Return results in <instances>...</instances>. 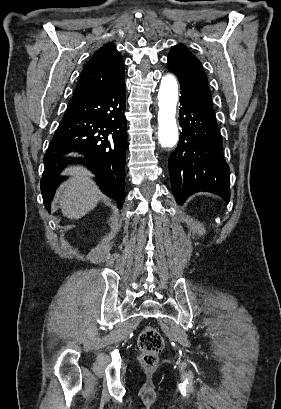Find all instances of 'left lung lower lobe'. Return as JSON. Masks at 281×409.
<instances>
[{
  "mask_svg": "<svg viewBox=\"0 0 281 409\" xmlns=\"http://www.w3.org/2000/svg\"><path fill=\"white\" fill-rule=\"evenodd\" d=\"M179 143L168 159L171 186L182 205L195 192L207 191L230 200L229 167L212 103L181 87Z\"/></svg>",
  "mask_w": 281,
  "mask_h": 409,
  "instance_id": "left-lung-lower-lobe-1",
  "label": "left lung lower lobe"
}]
</instances>
